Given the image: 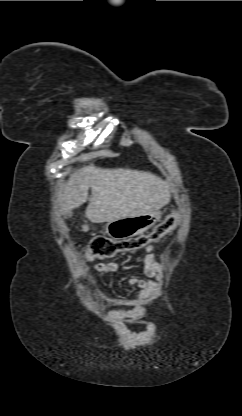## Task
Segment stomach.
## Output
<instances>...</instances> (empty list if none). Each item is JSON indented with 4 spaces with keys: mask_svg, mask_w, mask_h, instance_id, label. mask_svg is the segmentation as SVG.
I'll use <instances>...</instances> for the list:
<instances>
[{
    "mask_svg": "<svg viewBox=\"0 0 242 416\" xmlns=\"http://www.w3.org/2000/svg\"><path fill=\"white\" fill-rule=\"evenodd\" d=\"M160 219V211L117 219L106 223L105 233L115 240L131 238L143 234Z\"/></svg>",
    "mask_w": 242,
    "mask_h": 416,
    "instance_id": "1",
    "label": "stomach"
}]
</instances>
